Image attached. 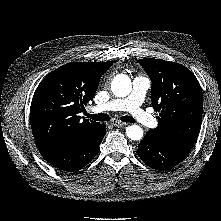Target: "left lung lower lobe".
<instances>
[{
	"instance_id": "obj_1",
	"label": "left lung lower lobe",
	"mask_w": 221,
	"mask_h": 221,
	"mask_svg": "<svg viewBox=\"0 0 221 221\" xmlns=\"http://www.w3.org/2000/svg\"><path fill=\"white\" fill-rule=\"evenodd\" d=\"M189 152L155 141L148 133L139 143L137 154L149 167L156 170L173 168L184 160Z\"/></svg>"
}]
</instances>
